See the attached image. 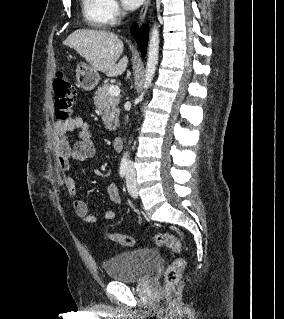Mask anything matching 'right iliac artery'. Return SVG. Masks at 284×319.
Segmentation results:
<instances>
[{"label":"right iliac artery","mask_w":284,"mask_h":319,"mask_svg":"<svg viewBox=\"0 0 284 319\" xmlns=\"http://www.w3.org/2000/svg\"><path fill=\"white\" fill-rule=\"evenodd\" d=\"M128 169L127 160L123 159L120 163L119 174L121 177H124Z\"/></svg>","instance_id":"82829eb1"}]
</instances>
